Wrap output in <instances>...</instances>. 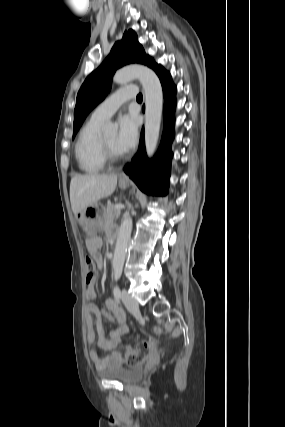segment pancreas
Masks as SVG:
<instances>
[{
	"label": "pancreas",
	"mask_w": 285,
	"mask_h": 427,
	"mask_svg": "<svg viewBox=\"0 0 285 427\" xmlns=\"http://www.w3.org/2000/svg\"><path fill=\"white\" fill-rule=\"evenodd\" d=\"M120 215V210L115 209V205L113 203H108L105 216H104V226L109 225L116 220Z\"/></svg>",
	"instance_id": "cf45deb5"
}]
</instances>
